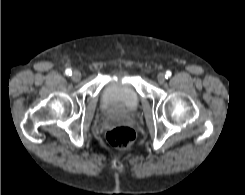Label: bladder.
I'll use <instances>...</instances> for the list:
<instances>
[{
  "instance_id": "1",
  "label": "bladder",
  "mask_w": 245,
  "mask_h": 195,
  "mask_svg": "<svg viewBox=\"0 0 245 195\" xmlns=\"http://www.w3.org/2000/svg\"><path fill=\"white\" fill-rule=\"evenodd\" d=\"M125 78V80H123ZM101 104L105 110L132 112L140 105V96L127 73L110 82L102 91Z\"/></svg>"
}]
</instances>
